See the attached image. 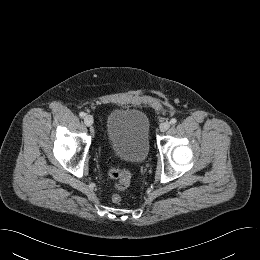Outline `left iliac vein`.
I'll list each match as a JSON object with an SVG mask.
<instances>
[{
	"label": "left iliac vein",
	"mask_w": 260,
	"mask_h": 260,
	"mask_svg": "<svg viewBox=\"0 0 260 260\" xmlns=\"http://www.w3.org/2000/svg\"><path fill=\"white\" fill-rule=\"evenodd\" d=\"M160 131L165 132L170 128V123L169 122H163L160 124Z\"/></svg>",
	"instance_id": "4c4485c4"
}]
</instances>
